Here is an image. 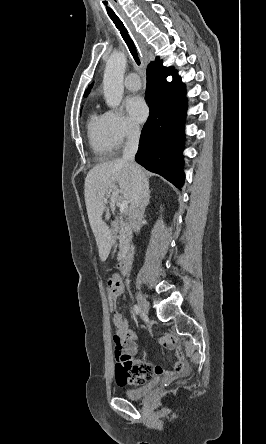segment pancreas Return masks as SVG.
<instances>
[{
    "label": "pancreas",
    "mask_w": 266,
    "mask_h": 444,
    "mask_svg": "<svg viewBox=\"0 0 266 444\" xmlns=\"http://www.w3.org/2000/svg\"><path fill=\"white\" fill-rule=\"evenodd\" d=\"M120 228H119V241L120 246L123 247L131 236V229L127 222L123 221V219L119 222Z\"/></svg>",
    "instance_id": "pancreas-1"
}]
</instances>
